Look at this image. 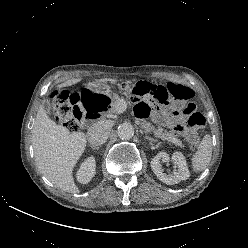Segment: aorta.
I'll use <instances>...</instances> for the list:
<instances>
[{
  "instance_id": "obj_1",
  "label": "aorta",
  "mask_w": 248,
  "mask_h": 248,
  "mask_svg": "<svg viewBox=\"0 0 248 248\" xmlns=\"http://www.w3.org/2000/svg\"><path fill=\"white\" fill-rule=\"evenodd\" d=\"M117 134L122 140H130L134 135V128L130 123H123L118 127Z\"/></svg>"
}]
</instances>
